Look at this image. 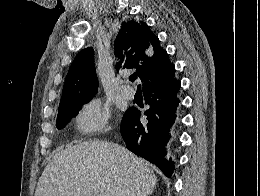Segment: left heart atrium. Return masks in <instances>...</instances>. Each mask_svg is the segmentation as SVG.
Returning a JSON list of instances; mask_svg holds the SVG:
<instances>
[{
    "instance_id": "obj_1",
    "label": "left heart atrium",
    "mask_w": 260,
    "mask_h": 196,
    "mask_svg": "<svg viewBox=\"0 0 260 196\" xmlns=\"http://www.w3.org/2000/svg\"><path fill=\"white\" fill-rule=\"evenodd\" d=\"M108 192H123V190H109Z\"/></svg>"
}]
</instances>
